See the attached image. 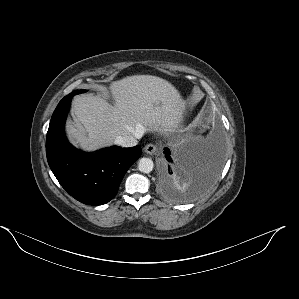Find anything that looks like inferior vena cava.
<instances>
[{
    "mask_svg": "<svg viewBox=\"0 0 299 299\" xmlns=\"http://www.w3.org/2000/svg\"><path fill=\"white\" fill-rule=\"evenodd\" d=\"M137 138H140V135L137 132L135 135L118 136L115 139V143L122 147H133L138 143Z\"/></svg>",
    "mask_w": 299,
    "mask_h": 299,
    "instance_id": "inferior-vena-cava-1",
    "label": "inferior vena cava"
}]
</instances>
